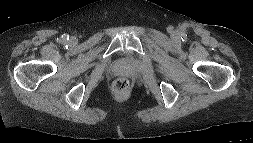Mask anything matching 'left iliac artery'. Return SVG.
Returning a JSON list of instances; mask_svg holds the SVG:
<instances>
[{
	"instance_id": "left-iliac-artery-1",
	"label": "left iliac artery",
	"mask_w": 253,
	"mask_h": 143,
	"mask_svg": "<svg viewBox=\"0 0 253 143\" xmlns=\"http://www.w3.org/2000/svg\"><path fill=\"white\" fill-rule=\"evenodd\" d=\"M187 38V34L186 33H183L182 34V40H185Z\"/></svg>"
}]
</instances>
